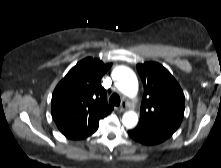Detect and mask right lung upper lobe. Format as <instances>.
I'll return each instance as SVG.
<instances>
[{
	"label": "right lung upper lobe",
	"mask_w": 221,
	"mask_h": 168,
	"mask_svg": "<svg viewBox=\"0 0 221 168\" xmlns=\"http://www.w3.org/2000/svg\"><path fill=\"white\" fill-rule=\"evenodd\" d=\"M110 67L111 63L85 58L56 86L51 101L52 116L66 137L77 139L94 133L99 120L113 110L100 83Z\"/></svg>",
	"instance_id": "right-lung-upper-lobe-1"
}]
</instances>
